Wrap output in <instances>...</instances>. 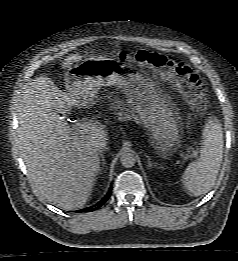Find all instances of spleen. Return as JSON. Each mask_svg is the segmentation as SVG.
I'll list each match as a JSON object with an SVG mask.
<instances>
[{
  "instance_id": "1",
  "label": "spleen",
  "mask_w": 238,
  "mask_h": 261,
  "mask_svg": "<svg viewBox=\"0 0 238 261\" xmlns=\"http://www.w3.org/2000/svg\"><path fill=\"white\" fill-rule=\"evenodd\" d=\"M202 149L182 175V184L191 196L206 194L213 187L223 157V131L217 118H209L202 133Z\"/></svg>"
}]
</instances>
